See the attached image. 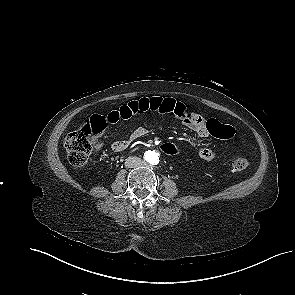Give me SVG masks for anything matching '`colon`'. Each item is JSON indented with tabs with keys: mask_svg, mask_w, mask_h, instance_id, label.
Masks as SVG:
<instances>
[{
	"mask_svg": "<svg viewBox=\"0 0 295 295\" xmlns=\"http://www.w3.org/2000/svg\"><path fill=\"white\" fill-rule=\"evenodd\" d=\"M106 122L102 116L94 115L84 122L77 130L69 133L64 141V147L69 162L75 167H82L88 161L93 143L103 132ZM207 128L210 134L221 139L233 138L236 129L230 124H224L217 120H209ZM161 151L168 156L174 157L179 154V147L171 142L164 141L160 145ZM248 160L244 157H237L232 168L235 172L243 171L248 166Z\"/></svg>",
	"mask_w": 295,
	"mask_h": 295,
	"instance_id": "colon-1",
	"label": "colon"
}]
</instances>
